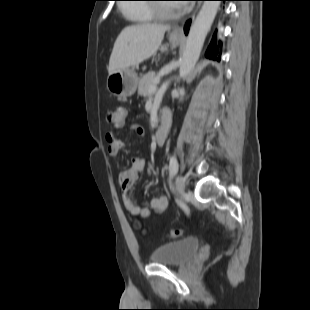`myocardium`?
<instances>
[{
	"label": "myocardium",
	"instance_id": "myocardium-1",
	"mask_svg": "<svg viewBox=\"0 0 310 310\" xmlns=\"http://www.w3.org/2000/svg\"><path fill=\"white\" fill-rule=\"evenodd\" d=\"M154 14L159 19H170L178 14V11L174 9H169L166 4H157L152 7Z\"/></svg>",
	"mask_w": 310,
	"mask_h": 310
}]
</instances>
